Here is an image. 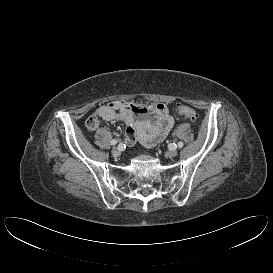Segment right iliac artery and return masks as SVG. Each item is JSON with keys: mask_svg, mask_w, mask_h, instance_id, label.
<instances>
[{"mask_svg": "<svg viewBox=\"0 0 273 273\" xmlns=\"http://www.w3.org/2000/svg\"><path fill=\"white\" fill-rule=\"evenodd\" d=\"M116 144H117V140L113 139V140L111 141V145H116Z\"/></svg>", "mask_w": 273, "mask_h": 273, "instance_id": "82829eb1", "label": "right iliac artery"}]
</instances>
